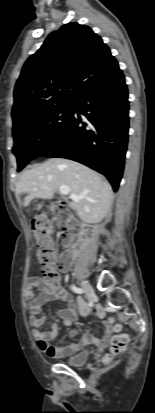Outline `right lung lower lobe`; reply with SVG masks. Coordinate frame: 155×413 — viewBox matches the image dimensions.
<instances>
[{
    "instance_id": "right-lung-lower-lobe-1",
    "label": "right lung lower lobe",
    "mask_w": 155,
    "mask_h": 413,
    "mask_svg": "<svg viewBox=\"0 0 155 413\" xmlns=\"http://www.w3.org/2000/svg\"><path fill=\"white\" fill-rule=\"evenodd\" d=\"M128 111V90L118 67L82 92L65 129L40 156L87 165L105 175L117 191L128 143Z\"/></svg>"
}]
</instances>
